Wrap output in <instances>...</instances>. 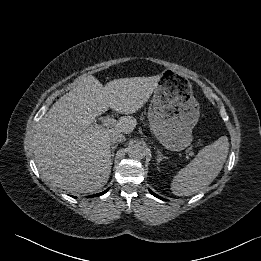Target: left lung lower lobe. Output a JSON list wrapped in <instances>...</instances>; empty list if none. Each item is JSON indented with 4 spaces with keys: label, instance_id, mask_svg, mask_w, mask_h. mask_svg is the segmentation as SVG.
Returning <instances> with one entry per match:
<instances>
[{
    "label": "left lung lower lobe",
    "instance_id": "0a47b994",
    "mask_svg": "<svg viewBox=\"0 0 261 261\" xmlns=\"http://www.w3.org/2000/svg\"><path fill=\"white\" fill-rule=\"evenodd\" d=\"M150 193L153 194L155 197H157V198H159V199H161V200H165V201H166V199L159 197L158 195H156L155 193H153L151 190H150Z\"/></svg>",
    "mask_w": 261,
    "mask_h": 261
}]
</instances>
